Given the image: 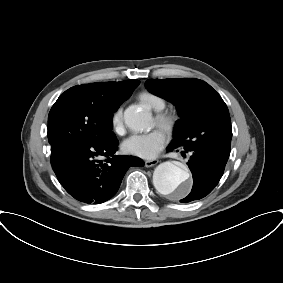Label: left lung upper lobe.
Listing matches in <instances>:
<instances>
[{"mask_svg":"<svg viewBox=\"0 0 283 283\" xmlns=\"http://www.w3.org/2000/svg\"><path fill=\"white\" fill-rule=\"evenodd\" d=\"M146 88L177 106L180 119L172 143L188 142L214 155L230 154L229 111L209 84L188 78L149 79Z\"/></svg>","mask_w":283,"mask_h":283,"instance_id":"obj_1","label":"left lung upper lobe"}]
</instances>
